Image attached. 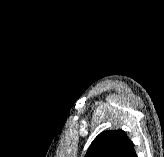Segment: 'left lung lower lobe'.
Masks as SVG:
<instances>
[{
	"label": "left lung lower lobe",
	"instance_id": "1",
	"mask_svg": "<svg viewBox=\"0 0 164 157\" xmlns=\"http://www.w3.org/2000/svg\"><path fill=\"white\" fill-rule=\"evenodd\" d=\"M128 157H137L134 148H133V150L131 151V153L129 154Z\"/></svg>",
	"mask_w": 164,
	"mask_h": 157
}]
</instances>
